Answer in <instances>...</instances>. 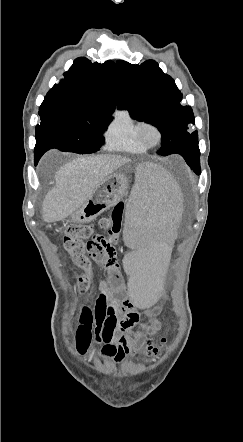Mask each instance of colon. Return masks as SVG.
Here are the masks:
<instances>
[{
  "label": "colon",
  "instance_id": "colon-1",
  "mask_svg": "<svg viewBox=\"0 0 243 442\" xmlns=\"http://www.w3.org/2000/svg\"><path fill=\"white\" fill-rule=\"evenodd\" d=\"M124 203L118 202L109 217L101 220L100 226L106 232V237L96 241L93 237V229L89 225L72 223L64 232L63 246L70 255L73 263L80 268L81 273L77 279V287L81 292L88 291L93 283L89 256L96 250L98 259H109L114 250L113 245L117 242L123 223ZM123 311H128L122 307ZM132 323V322H131ZM130 323V324H131ZM166 343L162 338L159 342H149L146 345V354L154 355L160 351ZM139 364H144V359H139Z\"/></svg>",
  "mask_w": 243,
  "mask_h": 442
}]
</instances>
